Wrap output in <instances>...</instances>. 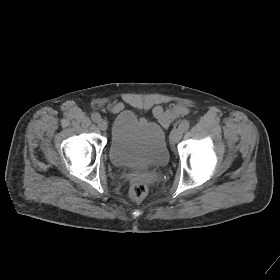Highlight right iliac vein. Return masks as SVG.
<instances>
[{"label":"right iliac vein","instance_id":"1","mask_svg":"<svg viewBox=\"0 0 280 280\" xmlns=\"http://www.w3.org/2000/svg\"><path fill=\"white\" fill-rule=\"evenodd\" d=\"M98 127L100 130L105 131L108 127V124L105 120L101 119L100 121H98Z\"/></svg>","mask_w":280,"mask_h":280}]
</instances>
